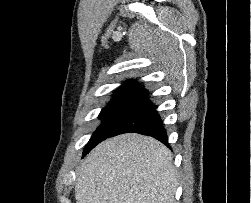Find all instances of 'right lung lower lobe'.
I'll use <instances>...</instances> for the list:
<instances>
[{
  "label": "right lung lower lobe",
  "mask_w": 251,
  "mask_h": 203,
  "mask_svg": "<svg viewBox=\"0 0 251 203\" xmlns=\"http://www.w3.org/2000/svg\"><path fill=\"white\" fill-rule=\"evenodd\" d=\"M135 132L154 137L163 144L169 146L166 129L155 108L142 112L118 127L109 137L123 133Z\"/></svg>",
  "instance_id": "1"
}]
</instances>
